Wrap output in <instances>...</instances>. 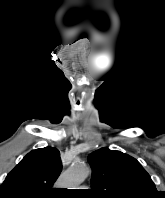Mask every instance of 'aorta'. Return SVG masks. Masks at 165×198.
<instances>
[{"instance_id": "obj_1", "label": "aorta", "mask_w": 165, "mask_h": 198, "mask_svg": "<svg viewBox=\"0 0 165 198\" xmlns=\"http://www.w3.org/2000/svg\"><path fill=\"white\" fill-rule=\"evenodd\" d=\"M90 174V169L81 162H74L60 177L58 186L76 189Z\"/></svg>"}]
</instances>
